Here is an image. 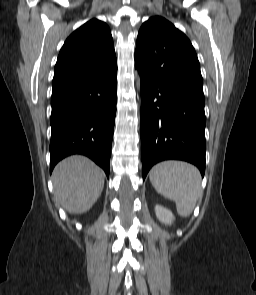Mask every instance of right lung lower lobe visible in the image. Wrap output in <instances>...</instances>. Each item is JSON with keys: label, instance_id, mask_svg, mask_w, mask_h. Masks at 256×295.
<instances>
[{"label": "right lung lower lobe", "instance_id": "obj_1", "mask_svg": "<svg viewBox=\"0 0 256 295\" xmlns=\"http://www.w3.org/2000/svg\"><path fill=\"white\" fill-rule=\"evenodd\" d=\"M116 91L117 66L53 86L50 172L63 158L83 154L109 177Z\"/></svg>", "mask_w": 256, "mask_h": 295}]
</instances>
